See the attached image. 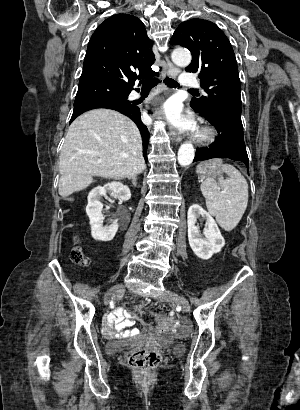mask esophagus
I'll list each match as a JSON object with an SVG mask.
<instances>
[{"instance_id": "34e87169", "label": "esophagus", "mask_w": 300, "mask_h": 410, "mask_svg": "<svg viewBox=\"0 0 300 410\" xmlns=\"http://www.w3.org/2000/svg\"><path fill=\"white\" fill-rule=\"evenodd\" d=\"M166 62H167V74H168L169 76H171V77H176V76L179 74L180 70H179L177 67H175V66L168 60L167 57H166ZM170 135H171L172 139H173L176 143L181 142L182 137L177 133V131L171 130V131H170Z\"/></svg>"}]
</instances>
